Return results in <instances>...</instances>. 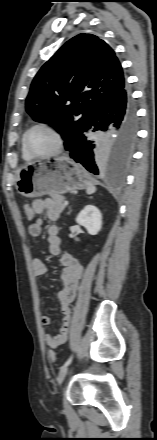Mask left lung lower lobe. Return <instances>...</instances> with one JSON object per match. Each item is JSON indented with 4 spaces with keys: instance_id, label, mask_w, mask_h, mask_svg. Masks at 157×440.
Masks as SVG:
<instances>
[{
    "instance_id": "1",
    "label": "left lung lower lobe",
    "mask_w": 157,
    "mask_h": 440,
    "mask_svg": "<svg viewBox=\"0 0 157 440\" xmlns=\"http://www.w3.org/2000/svg\"><path fill=\"white\" fill-rule=\"evenodd\" d=\"M136 109L127 87L98 105L74 135L70 157L89 172L118 175L123 172L136 138Z\"/></svg>"
}]
</instances>
